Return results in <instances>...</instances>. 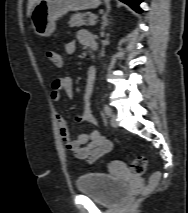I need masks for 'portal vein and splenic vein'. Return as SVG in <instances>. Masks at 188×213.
I'll return each instance as SVG.
<instances>
[{
	"instance_id": "portal-vein-and-splenic-vein-1",
	"label": "portal vein and splenic vein",
	"mask_w": 188,
	"mask_h": 213,
	"mask_svg": "<svg viewBox=\"0 0 188 213\" xmlns=\"http://www.w3.org/2000/svg\"><path fill=\"white\" fill-rule=\"evenodd\" d=\"M95 23H96V21L93 18L90 19L89 22H88V24L91 25V26L95 25Z\"/></svg>"
}]
</instances>
